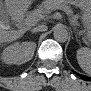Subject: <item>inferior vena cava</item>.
I'll return each instance as SVG.
<instances>
[{
	"mask_svg": "<svg viewBox=\"0 0 91 91\" xmlns=\"http://www.w3.org/2000/svg\"><path fill=\"white\" fill-rule=\"evenodd\" d=\"M34 32H42L47 30L46 25H40L32 29Z\"/></svg>",
	"mask_w": 91,
	"mask_h": 91,
	"instance_id": "602c4592",
	"label": "inferior vena cava"
}]
</instances>
